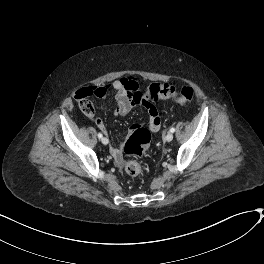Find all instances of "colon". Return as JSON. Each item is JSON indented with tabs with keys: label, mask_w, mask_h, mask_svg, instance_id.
Segmentation results:
<instances>
[{
	"label": "colon",
	"mask_w": 264,
	"mask_h": 264,
	"mask_svg": "<svg viewBox=\"0 0 264 264\" xmlns=\"http://www.w3.org/2000/svg\"><path fill=\"white\" fill-rule=\"evenodd\" d=\"M95 89L84 88L76 94V101L80 110L87 116L94 113L93 104L90 97L94 95ZM194 90L190 86L181 88L170 84H152L143 90L137 91L133 95V100L140 105H151L153 102L168 99L187 103L193 99ZM149 132L139 125H136L130 138L125 145V152L131 157L125 167V173L131 178L138 177L141 174L142 166L139 160L141 153L150 142Z\"/></svg>",
	"instance_id": "1"
}]
</instances>
